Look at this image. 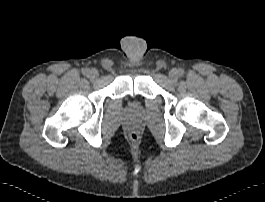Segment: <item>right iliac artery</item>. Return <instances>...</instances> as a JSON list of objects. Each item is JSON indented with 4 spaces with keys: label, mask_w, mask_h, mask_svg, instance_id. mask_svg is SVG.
Instances as JSON below:
<instances>
[{
    "label": "right iliac artery",
    "mask_w": 265,
    "mask_h": 202,
    "mask_svg": "<svg viewBox=\"0 0 265 202\" xmlns=\"http://www.w3.org/2000/svg\"><path fill=\"white\" fill-rule=\"evenodd\" d=\"M82 73H83V75H85V76H88L89 75V73H90V70L89 69H83L82 70Z\"/></svg>",
    "instance_id": "obj_1"
}]
</instances>
